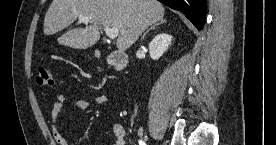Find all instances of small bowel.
<instances>
[{
    "instance_id": "c3829d8e",
    "label": "small bowel",
    "mask_w": 276,
    "mask_h": 145,
    "mask_svg": "<svg viewBox=\"0 0 276 145\" xmlns=\"http://www.w3.org/2000/svg\"><path fill=\"white\" fill-rule=\"evenodd\" d=\"M107 103V97L104 95H95L87 99L71 101L70 98L64 94H60L57 100L54 102L51 110V128L54 140L57 145H68V141L61 133L58 125V119L65 107H71L73 109H86L91 104L104 105ZM113 133V145H126V133L121 123H116L112 129Z\"/></svg>"
}]
</instances>
